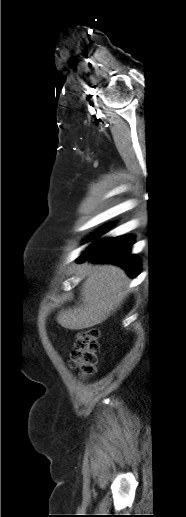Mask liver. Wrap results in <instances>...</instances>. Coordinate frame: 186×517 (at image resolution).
Returning a JSON list of instances; mask_svg holds the SVG:
<instances>
[{"label": "liver", "instance_id": "1", "mask_svg": "<svg viewBox=\"0 0 186 517\" xmlns=\"http://www.w3.org/2000/svg\"><path fill=\"white\" fill-rule=\"evenodd\" d=\"M87 278L81 288V304L61 311L57 322L66 329L81 330L105 321L121 306L128 294L129 277L110 264L83 263L79 269Z\"/></svg>", "mask_w": 186, "mask_h": 517}]
</instances>
